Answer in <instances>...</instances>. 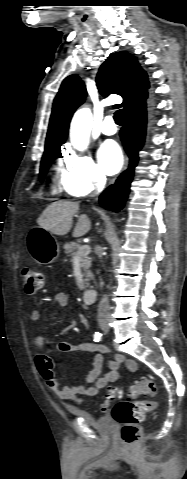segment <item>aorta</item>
Listing matches in <instances>:
<instances>
[{"label":"aorta","instance_id":"obj_1","mask_svg":"<svg viewBox=\"0 0 187 479\" xmlns=\"http://www.w3.org/2000/svg\"><path fill=\"white\" fill-rule=\"evenodd\" d=\"M92 128V114L90 109H79L73 116L70 127V141L72 146L83 151L88 147Z\"/></svg>","mask_w":187,"mask_h":479}]
</instances>
